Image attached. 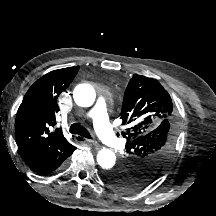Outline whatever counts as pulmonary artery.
I'll return each instance as SVG.
<instances>
[{
	"mask_svg": "<svg viewBox=\"0 0 216 216\" xmlns=\"http://www.w3.org/2000/svg\"><path fill=\"white\" fill-rule=\"evenodd\" d=\"M86 116L93 121L95 132L105 145L115 149L124 146V141L116 135L109 121L107 103L104 97H98L95 105L88 111Z\"/></svg>",
	"mask_w": 216,
	"mask_h": 216,
	"instance_id": "1",
	"label": "pulmonary artery"
}]
</instances>
